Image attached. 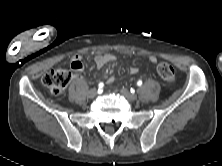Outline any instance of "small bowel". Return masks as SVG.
Segmentation results:
<instances>
[{"instance_id":"1","label":"small bowel","mask_w":222,"mask_h":166,"mask_svg":"<svg viewBox=\"0 0 222 166\" xmlns=\"http://www.w3.org/2000/svg\"><path fill=\"white\" fill-rule=\"evenodd\" d=\"M115 56L111 53H104V54H97L94 58L95 65L97 69H101L104 66L112 63L115 61ZM70 66L72 69L75 71H81L83 69V62L82 58L79 55H75L70 59ZM139 69L136 67H132L129 69L130 74H136L138 73ZM81 80L83 79L82 77H79ZM114 82V77H109L107 80V83L111 84Z\"/></svg>"}]
</instances>
